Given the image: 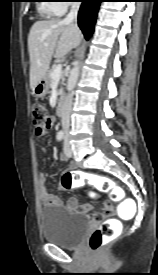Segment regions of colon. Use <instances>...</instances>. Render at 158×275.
<instances>
[{
    "label": "colon",
    "mask_w": 158,
    "mask_h": 275,
    "mask_svg": "<svg viewBox=\"0 0 158 275\" xmlns=\"http://www.w3.org/2000/svg\"><path fill=\"white\" fill-rule=\"evenodd\" d=\"M33 121L37 135H42L51 129L52 119L42 103L36 102L33 104ZM87 184L95 186L102 192L110 193L114 199L120 200L124 197L123 190L116 186L111 178L106 176L93 175L83 171H73L65 172L61 177V186L66 190L81 188ZM109 212V208L106 207L102 212L96 213L94 218L101 219ZM116 236L117 229L114 221L105 220L90 236L89 246L92 250H99Z\"/></svg>",
    "instance_id": "5ec220e1"
}]
</instances>
